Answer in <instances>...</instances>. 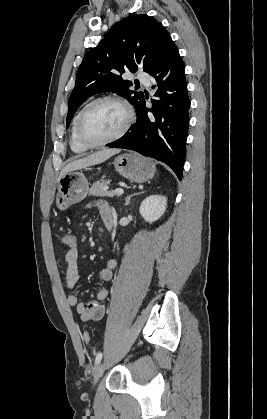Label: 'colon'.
<instances>
[{
	"label": "colon",
	"instance_id": "5ec220e1",
	"mask_svg": "<svg viewBox=\"0 0 267 419\" xmlns=\"http://www.w3.org/2000/svg\"><path fill=\"white\" fill-rule=\"evenodd\" d=\"M62 243L68 247H72L76 245V237L72 233H65L62 236ZM83 340L85 343L90 342V333L88 331L83 332Z\"/></svg>",
	"mask_w": 267,
	"mask_h": 419
}]
</instances>
